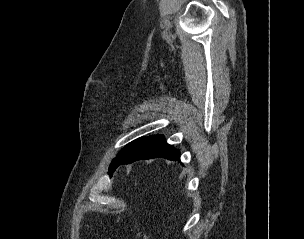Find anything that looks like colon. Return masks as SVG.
I'll return each instance as SVG.
<instances>
[{
	"instance_id": "obj_1",
	"label": "colon",
	"mask_w": 304,
	"mask_h": 239,
	"mask_svg": "<svg viewBox=\"0 0 304 239\" xmlns=\"http://www.w3.org/2000/svg\"><path fill=\"white\" fill-rule=\"evenodd\" d=\"M137 239H149V237L144 232H141L138 234Z\"/></svg>"
}]
</instances>
